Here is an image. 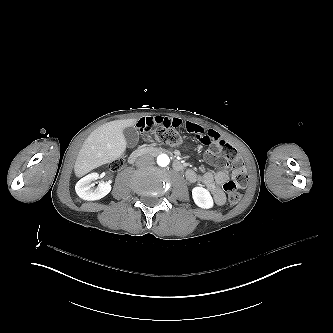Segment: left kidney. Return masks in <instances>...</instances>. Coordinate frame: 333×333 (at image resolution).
I'll use <instances>...</instances> for the list:
<instances>
[{
  "mask_svg": "<svg viewBox=\"0 0 333 333\" xmlns=\"http://www.w3.org/2000/svg\"><path fill=\"white\" fill-rule=\"evenodd\" d=\"M192 198L194 203L202 209L214 207V200L210 191L202 186H196L192 189Z\"/></svg>",
  "mask_w": 333,
  "mask_h": 333,
  "instance_id": "1",
  "label": "left kidney"
}]
</instances>
